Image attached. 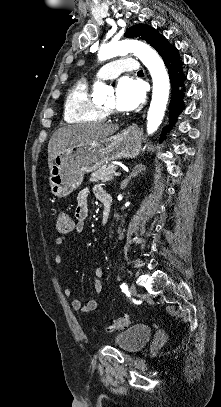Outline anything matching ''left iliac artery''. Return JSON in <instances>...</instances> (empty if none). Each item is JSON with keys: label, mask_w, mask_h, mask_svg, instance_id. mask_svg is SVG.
<instances>
[{"label": "left iliac artery", "mask_w": 221, "mask_h": 407, "mask_svg": "<svg viewBox=\"0 0 221 407\" xmlns=\"http://www.w3.org/2000/svg\"><path fill=\"white\" fill-rule=\"evenodd\" d=\"M120 287H121V290H122L123 292H125L126 290H128V287H127V285H125V283H123Z\"/></svg>", "instance_id": "left-iliac-artery-1"}]
</instances>
